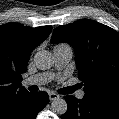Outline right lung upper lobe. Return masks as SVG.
<instances>
[{
  "mask_svg": "<svg viewBox=\"0 0 119 119\" xmlns=\"http://www.w3.org/2000/svg\"><path fill=\"white\" fill-rule=\"evenodd\" d=\"M52 26L30 28L17 23L0 26V119H7L30 96L21 85L33 49L43 42Z\"/></svg>",
  "mask_w": 119,
  "mask_h": 119,
  "instance_id": "1",
  "label": "right lung upper lobe"
}]
</instances>
